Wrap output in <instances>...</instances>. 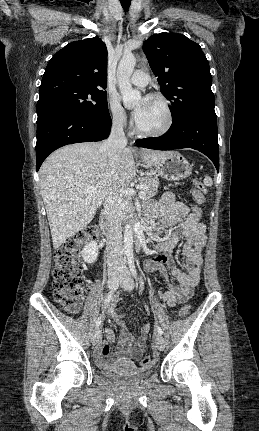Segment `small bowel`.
Listing matches in <instances>:
<instances>
[{"mask_svg": "<svg viewBox=\"0 0 259 431\" xmlns=\"http://www.w3.org/2000/svg\"><path fill=\"white\" fill-rule=\"evenodd\" d=\"M150 219L163 226H171L172 231L165 242L155 246L151 253L150 260L146 264V269L151 272L165 274L167 268L170 274L178 282L177 285H170L169 289L158 294L159 299L165 301L169 306L188 301L194 288L199 282L201 268L203 264L202 249L206 244V228L199 220L194 219L192 208L183 203L175 201L171 193L161 196L154 207L149 208ZM184 238L182 245V255L184 258L183 268L175 265L174 261L164 253L174 249L180 237ZM119 298L115 299V303ZM110 314L122 327L118 342V351L111 353L110 344L115 342V334L112 329H106L107 343H98L96 350V360L102 366H110L116 363H131L139 360L144 352L145 344L150 325L144 324L141 327L140 336L135 337L123 328L121 314L115 305L109 310Z\"/></svg>", "mask_w": 259, "mask_h": 431, "instance_id": "1", "label": "small bowel"}]
</instances>
